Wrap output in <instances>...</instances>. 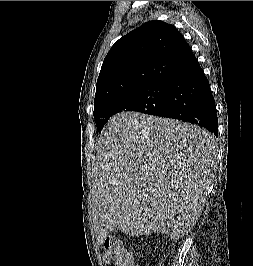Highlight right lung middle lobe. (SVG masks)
I'll return each mask as SVG.
<instances>
[{
	"instance_id": "dd1d6c3e",
	"label": "right lung middle lobe",
	"mask_w": 253,
	"mask_h": 266,
	"mask_svg": "<svg viewBox=\"0 0 253 266\" xmlns=\"http://www.w3.org/2000/svg\"><path fill=\"white\" fill-rule=\"evenodd\" d=\"M169 82H153L94 105V119L100 132L110 116L122 111L158 115L164 106Z\"/></svg>"
}]
</instances>
